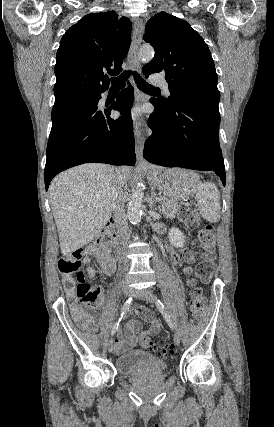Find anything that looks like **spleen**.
<instances>
[{"mask_svg": "<svg viewBox=\"0 0 274 427\" xmlns=\"http://www.w3.org/2000/svg\"><path fill=\"white\" fill-rule=\"evenodd\" d=\"M197 206L200 214L207 221L215 223L221 217L220 196L217 186L212 182H203L197 186Z\"/></svg>", "mask_w": 274, "mask_h": 427, "instance_id": "3e777b00", "label": "spleen"}]
</instances>
